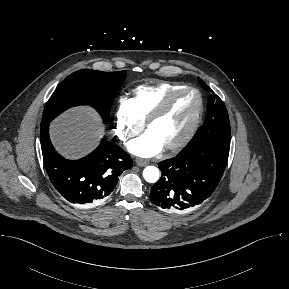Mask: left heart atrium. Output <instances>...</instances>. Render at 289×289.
<instances>
[{"mask_svg":"<svg viewBox=\"0 0 289 289\" xmlns=\"http://www.w3.org/2000/svg\"><path fill=\"white\" fill-rule=\"evenodd\" d=\"M162 148L163 145L161 142L150 131H147L128 144L129 151L141 157L154 156L159 153Z\"/></svg>","mask_w":289,"mask_h":289,"instance_id":"obj_1","label":"left heart atrium"}]
</instances>
